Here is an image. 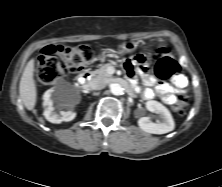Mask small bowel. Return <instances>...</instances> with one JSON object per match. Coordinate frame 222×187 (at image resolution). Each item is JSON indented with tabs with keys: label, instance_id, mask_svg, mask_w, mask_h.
<instances>
[{
	"label": "small bowel",
	"instance_id": "c3829d8e",
	"mask_svg": "<svg viewBox=\"0 0 222 187\" xmlns=\"http://www.w3.org/2000/svg\"><path fill=\"white\" fill-rule=\"evenodd\" d=\"M126 70L128 76L132 79L135 77V68L132 61L126 63ZM144 82L147 86L153 88H147L143 91L142 96L144 99L150 100L157 96L161 101L167 105H173L177 101L178 94L185 91L188 80L184 75L178 74L173 78V85L164 82H157V80L146 75L144 77Z\"/></svg>",
	"mask_w": 222,
	"mask_h": 187
}]
</instances>
